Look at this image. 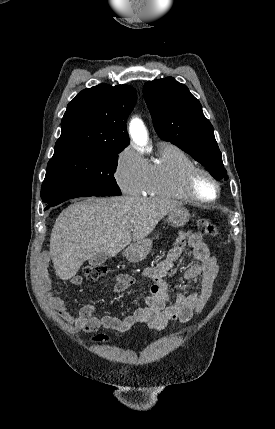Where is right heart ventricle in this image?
I'll return each mask as SVG.
<instances>
[{
    "label": "right heart ventricle",
    "instance_id": "right-heart-ventricle-1",
    "mask_svg": "<svg viewBox=\"0 0 275 429\" xmlns=\"http://www.w3.org/2000/svg\"><path fill=\"white\" fill-rule=\"evenodd\" d=\"M195 161L180 147L162 143L157 159L148 165L145 194L151 197L189 200L183 190V177Z\"/></svg>",
    "mask_w": 275,
    "mask_h": 429
}]
</instances>
